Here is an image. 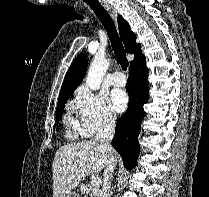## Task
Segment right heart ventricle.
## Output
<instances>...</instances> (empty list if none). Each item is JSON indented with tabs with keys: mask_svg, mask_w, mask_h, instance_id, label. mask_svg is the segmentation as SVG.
<instances>
[{
	"mask_svg": "<svg viewBox=\"0 0 209 197\" xmlns=\"http://www.w3.org/2000/svg\"><path fill=\"white\" fill-rule=\"evenodd\" d=\"M64 121L70 127L72 136L76 137L80 133L79 122L70 114L65 117Z\"/></svg>",
	"mask_w": 209,
	"mask_h": 197,
	"instance_id": "1",
	"label": "right heart ventricle"
}]
</instances>
